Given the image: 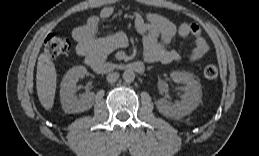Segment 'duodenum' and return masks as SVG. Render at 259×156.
<instances>
[{
	"mask_svg": "<svg viewBox=\"0 0 259 156\" xmlns=\"http://www.w3.org/2000/svg\"><path fill=\"white\" fill-rule=\"evenodd\" d=\"M87 64L99 74H107L116 70L132 71L135 73H143L145 70L144 64L140 61L130 63H108L103 60L86 58Z\"/></svg>",
	"mask_w": 259,
	"mask_h": 156,
	"instance_id": "410a0bca",
	"label": "duodenum"
}]
</instances>
